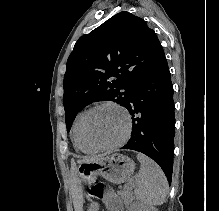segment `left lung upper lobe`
<instances>
[{"instance_id":"5c2ea615","label":"left lung upper lobe","mask_w":219,"mask_h":211,"mask_svg":"<svg viewBox=\"0 0 219 211\" xmlns=\"http://www.w3.org/2000/svg\"><path fill=\"white\" fill-rule=\"evenodd\" d=\"M163 55L154 30L127 11L80 37L63 81L67 132L77 113L93 102L125 106L136 82Z\"/></svg>"}]
</instances>
